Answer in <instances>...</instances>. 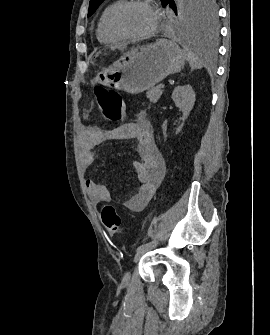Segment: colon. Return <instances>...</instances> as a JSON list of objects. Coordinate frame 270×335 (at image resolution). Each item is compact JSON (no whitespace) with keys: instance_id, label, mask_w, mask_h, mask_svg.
Instances as JSON below:
<instances>
[{"instance_id":"1","label":"colon","mask_w":270,"mask_h":335,"mask_svg":"<svg viewBox=\"0 0 270 335\" xmlns=\"http://www.w3.org/2000/svg\"><path fill=\"white\" fill-rule=\"evenodd\" d=\"M92 94L101 115L106 121L113 123L123 118L126 113V105L120 94L103 85L94 86ZM101 216L102 222L109 232L115 235H126L124 222L114 205L105 204Z\"/></svg>"}]
</instances>
